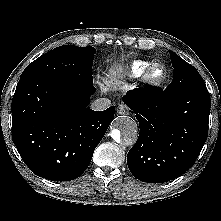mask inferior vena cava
I'll use <instances>...</instances> for the list:
<instances>
[{
    "mask_svg": "<svg viewBox=\"0 0 221 221\" xmlns=\"http://www.w3.org/2000/svg\"><path fill=\"white\" fill-rule=\"evenodd\" d=\"M111 101L108 98H99L91 103V109L94 111H102L110 107Z\"/></svg>",
    "mask_w": 221,
    "mask_h": 221,
    "instance_id": "obj_1",
    "label": "inferior vena cava"
}]
</instances>
